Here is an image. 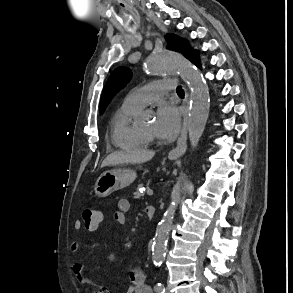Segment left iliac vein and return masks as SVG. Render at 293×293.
<instances>
[{"instance_id": "obj_1", "label": "left iliac vein", "mask_w": 293, "mask_h": 293, "mask_svg": "<svg viewBox=\"0 0 293 293\" xmlns=\"http://www.w3.org/2000/svg\"><path fill=\"white\" fill-rule=\"evenodd\" d=\"M165 293H170L168 288H166Z\"/></svg>"}]
</instances>
